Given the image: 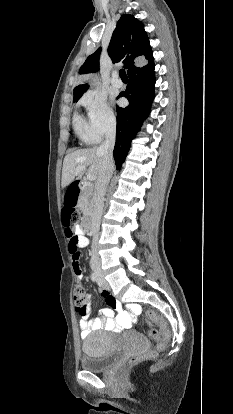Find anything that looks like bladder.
<instances>
[{
  "mask_svg": "<svg viewBox=\"0 0 233 414\" xmlns=\"http://www.w3.org/2000/svg\"><path fill=\"white\" fill-rule=\"evenodd\" d=\"M142 346H145L144 339L134 333ZM120 356L112 337L104 332L98 331L89 334L83 343V355L80 358V367L89 372H103L112 367Z\"/></svg>",
  "mask_w": 233,
  "mask_h": 414,
  "instance_id": "bladder-1",
  "label": "bladder"
}]
</instances>
